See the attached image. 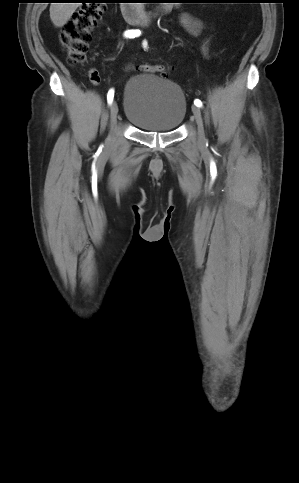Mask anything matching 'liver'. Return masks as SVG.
Segmentation results:
<instances>
[{"mask_svg":"<svg viewBox=\"0 0 299 483\" xmlns=\"http://www.w3.org/2000/svg\"><path fill=\"white\" fill-rule=\"evenodd\" d=\"M80 3H51L50 18L56 27H63Z\"/></svg>","mask_w":299,"mask_h":483,"instance_id":"1","label":"liver"}]
</instances>
